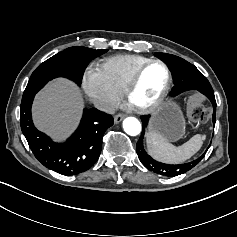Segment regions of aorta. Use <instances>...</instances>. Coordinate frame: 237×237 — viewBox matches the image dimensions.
Returning a JSON list of instances; mask_svg holds the SVG:
<instances>
[{
  "instance_id": "762f6f07",
  "label": "aorta",
  "mask_w": 237,
  "mask_h": 237,
  "mask_svg": "<svg viewBox=\"0 0 237 237\" xmlns=\"http://www.w3.org/2000/svg\"><path fill=\"white\" fill-rule=\"evenodd\" d=\"M123 129L130 136H138L142 131V126L138 119L128 117L123 122Z\"/></svg>"
}]
</instances>
